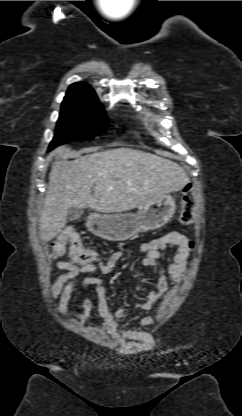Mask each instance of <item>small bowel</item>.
I'll use <instances>...</instances> for the list:
<instances>
[{
    "mask_svg": "<svg viewBox=\"0 0 242 416\" xmlns=\"http://www.w3.org/2000/svg\"><path fill=\"white\" fill-rule=\"evenodd\" d=\"M169 245L176 246V250L166 260V269L159 267L162 251ZM139 251L144 255L141 264L154 267L158 270L156 285L152 288L145 301L139 304L141 310L149 311L156 302L162 299L169 289V281H182L189 257V242L187 237L172 231L164 236L139 245ZM124 257V252L115 251L107 260L95 264L77 265L71 261H60L57 268L62 272L52 290V297L58 299V308L61 315L78 323L84 322L93 309H96L103 320L104 330L118 343L124 345L134 340L140 333L138 330L120 331L117 321L125 315L123 308L111 311L107 304L105 287L99 277L88 274L106 276L112 272L117 263ZM84 276V277H83ZM82 279L83 300L82 311L76 315L69 314V302L78 281ZM151 318L146 316L140 320L142 327H147Z\"/></svg>",
    "mask_w": 242,
    "mask_h": 416,
    "instance_id": "obj_1",
    "label": "small bowel"
}]
</instances>
